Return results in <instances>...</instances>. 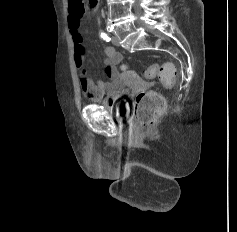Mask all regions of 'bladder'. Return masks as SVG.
<instances>
[{"instance_id": "obj_1", "label": "bladder", "mask_w": 237, "mask_h": 232, "mask_svg": "<svg viewBox=\"0 0 237 232\" xmlns=\"http://www.w3.org/2000/svg\"><path fill=\"white\" fill-rule=\"evenodd\" d=\"M127 94H128L127 91L124 90L122 91L121 98L118 101L114 102L113 104L103 103V106L106 109L112 110L116 117L124 118L129 109V101L125 98Z\"/></svg>"}]
</instances>
